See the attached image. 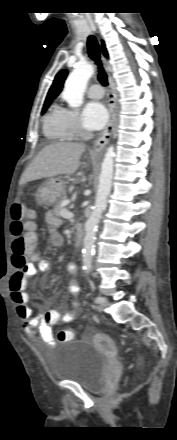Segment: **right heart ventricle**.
<instances>
[{"mask_svg":"<svg viewBox=\"0 0 177 440\" xmlns=\"http://www.w3.org/2000/svg\"><path fill=\"white\" fill-rule=\"evenodd\" d=\"M43 132L49 140L54 142L69 139L62 128L58 107H52L44 117Z\"/></svg>","mask_w":177,"mask_h":440,"instance_id":"obj_1","label":"right heart ventricle"}]
</instances>
